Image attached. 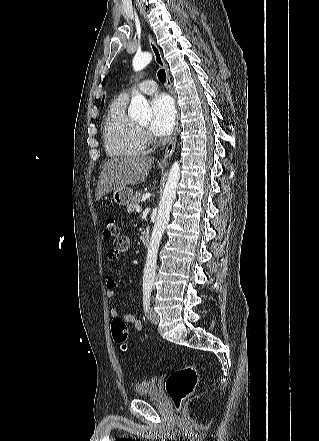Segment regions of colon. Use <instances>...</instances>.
<instances>
[{
  "label": "colon",
  "mask_w": 319,
  "mask_h": 441,
  "mask_svg": "<svg viewBox=\"0 0 319 441\" xmlns=\"http://www.w3.org/2000/svg\"><path fill=\"white\" fill-rule=\"evenodd\" d=\"M119 226L114 217H108L103 228V235L107 239L119 236ZM111 333L113 340L123 350L126 349L128 339V329L126 322L119 317L112 320ZM199 374L195 365H187L176 369L166 379V391L174 403L176 409L180 411L185 400L194 392Z\"/></svg>",
  "instance_id": "1"
}]
</instances>
